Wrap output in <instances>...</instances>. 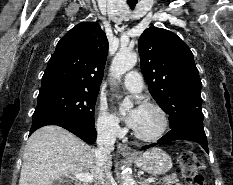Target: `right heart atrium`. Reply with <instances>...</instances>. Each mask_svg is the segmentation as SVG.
Instances as JSON below:
<instances>
[{"mask_svg":"<svg viewBox=\"0 0 233 185\" xmlns=\"http://www.w3.org/2000/svg\"><path fill=\"white\" fill-rule=\"evenodd\" d=\"M96 129L100 135L109 138H116L123 133L119 120L110 114L104 106H100L98 109Z\"/></svg>","mask_w":233,"mask_h":185,"instance_id":"d8ad5b80","label":"right heart atrium"}]
</instances>
